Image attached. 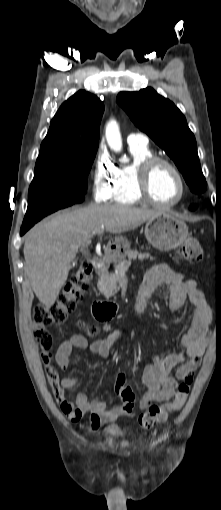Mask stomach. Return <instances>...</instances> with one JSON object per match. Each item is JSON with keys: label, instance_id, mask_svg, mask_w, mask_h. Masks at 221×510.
I'll return each mask as SVG.
<instances>
[{"label": "stomach", "instance_id": "0dacf381", "mask_svg": "<svg viewBox=\"0 0 221 510\" xmlns=\"http://www.w3.org/2000/svg\"><path fill=\"white\" fill-rule=\"evenodd\" d=\"M145 236L150 245L165 252L182 245L188 237V227L180 218L162 212L145 224ZM130 250V243L118 237L110 245L111 258L121 260Z\"/></svg>", "mask_w": 221, "mask_h": 510}]
</instances>
